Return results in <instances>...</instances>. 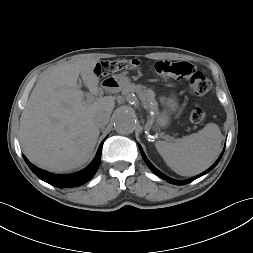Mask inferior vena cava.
<instances>
[{"label":"inferior vena cava","instance_id":"obj_1","mask_svg":"<svg viewBox=\"0 0 253 253\" xmlns=\"http://www.w3.org/2000/svg\"><path fill=\"white\" fill-rule=\"evenodd\" d=\"M110 119V115L106 112H102L95 117V123L99 128L104 127Z\"/></svg>","mask_w":253,"mask_h":253}]
</instances>
